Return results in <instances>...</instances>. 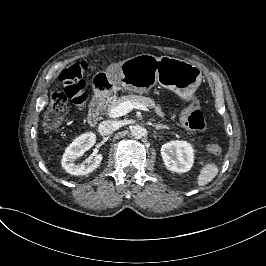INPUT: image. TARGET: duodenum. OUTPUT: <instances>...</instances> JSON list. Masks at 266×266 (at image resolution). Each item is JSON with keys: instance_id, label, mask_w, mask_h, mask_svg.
Returning <instances> with one entry per match:
<instances>
[{"instance_id": "obj_1", "label": "duodenum", "mask_w": 266, "mask_h": 266, "mask_svg": "<svg viewBox=\"0 0 266 266\" xmlns=\"http://www.w3.org/2000/svg\"><path fill=\"white\" fill-rule=\"evenodd\" d=\"M93 92L94 103L91 107L88 120L91 124H95L100 117L101 104L109 101L110 97L116 92V85L105 74H98L93 79Z\"/></svg>"}]
</instances>
